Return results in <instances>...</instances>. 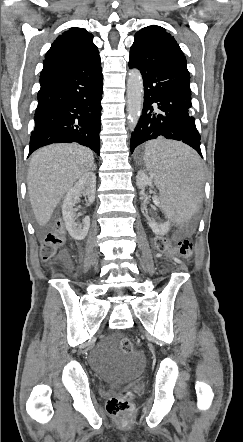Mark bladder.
<instances>
[{
  "mask_svg": "<svg viewBox=\"0 0 243 442\" xmlns=\"http://www.w3.org/2000/svg\"><path fill=\"white\" fill-rule=\"evenodd\" d=\"M143 366V360L139 356L123 354L118 357L116 363V372L113 382L116 384H125L136 379Z\"/></svg>",
  "mask_w": 243,
  "mask_h": 442,
  "instance_id": "1",
  "label": "bladder"
}]
</instances>
